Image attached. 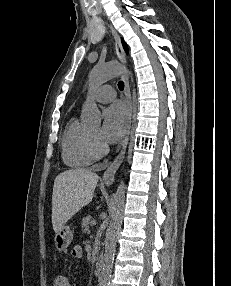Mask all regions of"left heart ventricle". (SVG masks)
Segmentation results:
<instances>
[{"mask_svg":"<svg viewBox=\"0 0 231 286\" xmlns=\"http://www.w3.org/2000/svg\"><path fill=\"white\" fill-rule=\"evenodd\" d=\"M88 131L96 140L101 142L100 139H99V128L98 127L90 128V129H88Z\"/></svg>","mask_w":231,"mask_h":286,"instance_id":"b2bd125f","label":"left heart ventricle"}]
</instances>
